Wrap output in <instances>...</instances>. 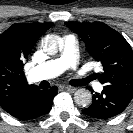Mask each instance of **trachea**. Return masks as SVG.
Listing matches in <instances>:
<instances>
[{"instance_id":"trachea-1","label":"trachea","mask_w":133,"mask_h":133,"mask_svg":"<svg viewBox=\"0 0 133 133\" xmlns=\"http://www.w3.org/2000/svg\"><path fill=\"white\" fill-rule=\"evenodd\" d=\"M85 84H86V82L81 79H75V80L70 81V85H72V86H84Z\"/></svg>"}]
</instances>
